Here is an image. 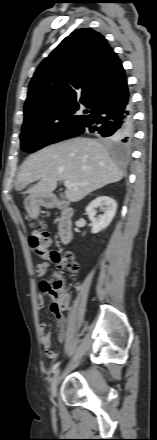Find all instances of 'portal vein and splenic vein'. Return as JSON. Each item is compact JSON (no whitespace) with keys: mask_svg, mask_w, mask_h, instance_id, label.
I'll return each instance as SVG.
<instances>
[{"mask_svg":"<svg viewBox=\"0 0 157 440\" xmlns=\"http://www.w3.org/2000/svg\"><path fill=\"white\" fill-rule=\"evenodd\" d=\"M64 186H65L66 188H71V187H73L74 185H73L69 180H66V181H64Z\"/></svg>","mask_w":157,"mask_h":440,"instance_id":"obj_1","label":"portal vein and splenic vein"}]
</instances>
